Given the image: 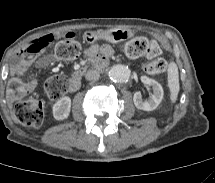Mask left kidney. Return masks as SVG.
Here are the masks:
<instances>
[{"label":"left kidney","instance_id":"left-kidney-1","mask_svg":"<svg viewBox=\"0 0 215 183\" xmlns=\"http://www.w3.org/2000/svg\"><path fill=\"white\" fill-rule=\"evenodd\" d=\"M141 81L144 85L151 86L153 93L148 100H143L141 94L139 92H136L133 96L134 105L138 109L152 111L157 108V106L163 99L164 96L163 88L157 81L147 76H142Z\"/></svg>","mask_w":215,"mask_h":183}]
</instances>
